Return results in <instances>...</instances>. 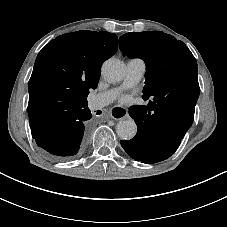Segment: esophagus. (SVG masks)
I'll return each instance as SVG.
<instances>
[{
	"instance_id": "esophagus-1",
	"label": "esophagus",
	"mask_w": 227,
	"mask_h": 227,
	"mask_svg": "<svg viewBox=\"0 0 227 227\" xmlns=\"http://www.w3.org/2000/svg\"><path fill=\"white\" fill-rule=\"evenodd\" d=\"M110 115L113 116L114 119L120 120L124 118V114L126 113L122 107H114L113 109L110 110ZM128 114L130 113L129 111L127 112ZM115 116H119L118 118H116Z\"/></svg>"
}]
</instances>
